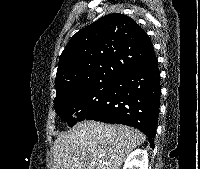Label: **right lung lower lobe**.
<instances>
[{
    "label": "right lung lower lobe",
    "instance_id": "obj_1",
    "mask_svg": "<svg viewBox=\"0 0 200 169\" xmlns=\"http://www.w3.org/2000/svg\"><path fill=\"white\" fill-rule=\"evenodd\" d=\"M160 90L156 60L118 77L104 103L86 119L135 127L146 134L154 148Z\"/></svg>",
    "mask_w": 200,
    "mask_h": 169
}]
</instances>
